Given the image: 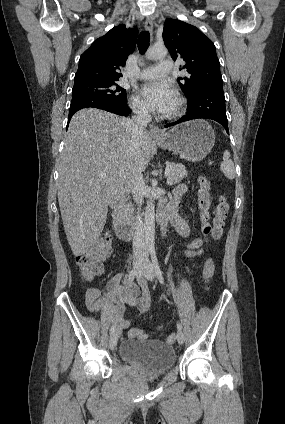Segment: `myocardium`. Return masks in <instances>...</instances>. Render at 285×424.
<instances>
[{"label": "myocardium", "mask_w": 285, "mask_h": 424, "mask_svg": "<svg viewBox=\"0 0 285 424\" xmlns=\"http://www.w3.org/2000/svg\"><path fill=\"white\" fill-rule=\"evenodd\" d=\"M185 110V100L181 96H176V108L173 112L165 114L164 119L172 120L180 117Z\"/></svg>", "instance_id": "1"}]
</instances>
